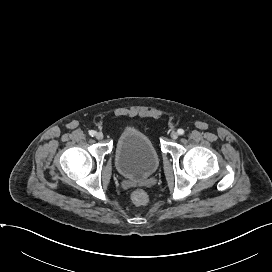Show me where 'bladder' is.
I'll return each mask as SVG.
<instances>
[{"label": "bladder", "mask_w": 272, "mask_h": 272, "mask_svg": "<svg viewBox=\"0 0 272 272\" xmlns=\"http://www.w3.org/2000/svg\"><path fill=\"white\" fill-rule=\"evenodd\" d=\"M115 165L123 177L145 178L157 170L159 155L146 134L137 129L128 128L117 139Z\"/></svg>", "instance_id": "1"}]
</instances>
